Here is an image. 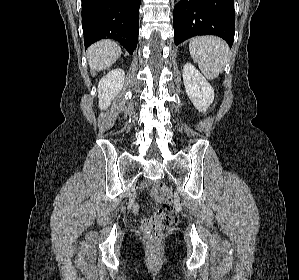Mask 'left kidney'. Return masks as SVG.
<instances>
[{
	"label": "left kidney",
	"mask_w": 299,
	"mask_h": 280,
	"mask_svg": "<svg viewBox=\"0 0 299 280\" xmlns=\"http://www.w3.org/2000/svg\"><path fill=\"white\" fill-rule=\"evenodd\" d=\"M183 82L193 105L199 111L206 112L214 100V90L191 63H186L183 67Z\"/></svg>",
	"instance_id": "obj_1"
}]
</instances>
